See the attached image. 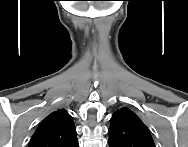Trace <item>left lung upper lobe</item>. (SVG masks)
I'll list each match as a JSON object with an SVG mask.
<instances>
[{"instance_id":"5c2ea615","label":"left lung upper lobe","mask_w":188,"mask_h":147,"mask_svg":"<svg viewBox=\"0 0 188 147\" xmlns=\"http://www.w3.org/2000/svg\"><path fill=\"white\" fill-rule=\"evenodd\" d=\"M110 122V147H155L149 129L129 108L117 110Z\"/></svg>"}]
</instances>
